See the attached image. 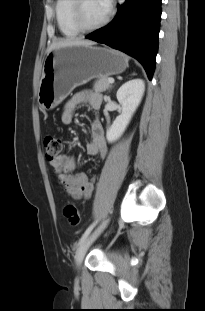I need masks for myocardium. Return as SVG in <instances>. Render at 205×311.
Masks as SVG:
<instances>
[{
    "label": "myocardium",
    "mask_w": 205,
    "mask_h": 311,
    "mask_svg": "<svg viewBox=\"0 0 205 311\" xmlns=\"http://www.w3.org/2000/svg\"><path fill=\"white\" fill-rule=\"evenodd\" d=\"M85 1L86 0H74L73 2L71 16L75 26L81 32H93L105 27L111 19L112 16L111 9L109 8L107 15L100 23L93 26H88L85 24L84 18L82 16L83 3Z\"/></svg>",
    "instance_id": "obj_1"
}]
</instances>
